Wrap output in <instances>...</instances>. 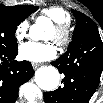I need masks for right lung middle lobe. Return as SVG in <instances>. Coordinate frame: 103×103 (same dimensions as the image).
<instances>
[{"label": "right lung middle lobe", "mask_w": 103, "mask_h": 103, "mask_svg": "<svg viewBox=\"0 0 103 103\" xmlns=\"http://www.w3.org/2000/svg\"><path fill=\"white\" fill-rule=\"evenodd\" d=\"M37 9L38 7L36 6L27 5V11L13 13L4 5H0V52H12L18 49L14 36L16 28Z\"/></svg>", "instance_id": "1"}]
</instances>
